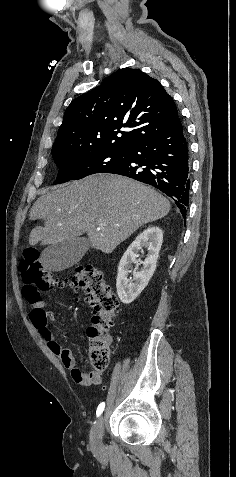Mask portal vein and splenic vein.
I'll return each instance as SVG.
<instances>
[{
  "instance_id": "portal-vein-and-splenic-vein-1",
  "label": "portal vein and splenic vein",
  "mask_w": 236,
  "mask_h": 477,
  "mask_svg": "<svg viewBox=\"0 0 236 477\" xmlns=\"http://www.w3.org/2000/svg\"><path fill=\"white\" fill-rule=\"evenodd\" d=\"M101 227H103V224H99V227H98V228H101Z\"/></svg>"
}]
</instances>
